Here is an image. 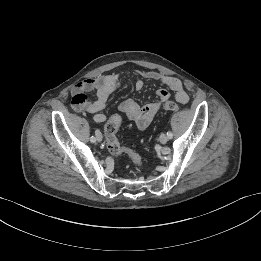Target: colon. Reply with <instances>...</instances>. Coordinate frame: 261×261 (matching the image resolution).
Wrapping results in <instances>:
<instances>
[{"instance_id": "5ec220e1", "label": "colon", "mask_w": 261, "mask_h": 261, "mask_svg": "<svg viewBox=\"0 0 261 261\" xmlns=\"http://www.w3.org/2000/svg\"><path fill=\"white\" fill-rule=\"evenodd\" d=\"M163 109L170 112L179 110V105L173 101H166L163 104ZM122 119L119 115H113L104 126L106 145L108 151L113 155L125 154L137 166L141 164L140 156L128 147L121 145L118 140L117 132L120 128Z\"/></svg>"}]
</instances>
